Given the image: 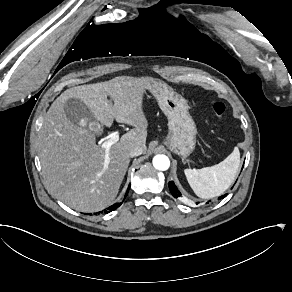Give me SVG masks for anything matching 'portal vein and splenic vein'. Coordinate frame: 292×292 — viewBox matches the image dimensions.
<instances>
[{"label": "portal vein and splenic vein", "instance_id": "18ae733b", "mask_svg": "<svg viewBox=\"0 0 292 292\" xmlns=\"http://www.w3.org/2000/svg\"><path fill=\"white\" fill-rule=\"evenodd\" d=\"M119 139V132H115L112 134V137L108 140H105L102 144V147L105 148L106 150V161H105V164H104V167L102 169L101 172H99L97 175H96V179L95 180H98L102 174L108 169V154H109V150H110V147L116 143Z\"/></svg>", "mask_w": 292, "mask_h": 292}]
</instances>
